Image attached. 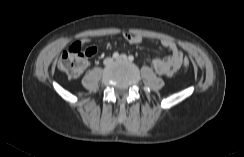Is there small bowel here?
<instances>
[{
  "label": "small bowel",
  "mask_w": 244,
  "mask_h": 157,
  "mask_svg": "<svg viewBox=\"0 0 244 157\" xmlns=\"http://www.w3.org/2000/svg\"><path fill=\"white\" fill-rule=\"evenodd\" d=\"M124 39L132 45L143 42V38L140 35L130 33H125ZM160 44L167 48L171 52V55L167 58H153L150 60V63L157 74L171 77L180 69L183 61V53L172 39L163 38L160 40Z\"/></svg>",
  "instance_id": "small-bowel-1"
}]
</instances>
